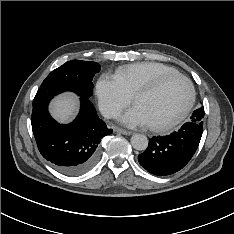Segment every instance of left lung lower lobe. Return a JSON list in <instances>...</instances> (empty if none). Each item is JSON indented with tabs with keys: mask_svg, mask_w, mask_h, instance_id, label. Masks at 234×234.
<instances>
[{
	"mask_svg": "<svg viewBox=\"0 0 234 234\" xmlns=\"http://www.w3.org/2000/svg\"><path fill=\"white\" fill-rule=\"evenodd\" d=\"M202 133V124L186 122L170 135L151 138L147 149L138 156V161L151 174H173L190 161L198 148Z\"/></svg>",
	"mask_w": 234,
	"mask_h": 234,
	"instance_id": "0a47b994",
	"label": "left lung lower lobe"
}]
</instances>
